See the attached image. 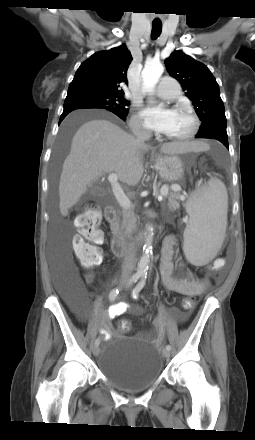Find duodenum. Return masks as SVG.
Returning <instances> with one entry per match:
<instances>
[{
    "label": "duodenum",
    "mask_w": 255,
    "mask_h": 440,
    "mask_svg": "<svg viewBox=\"0 0 255 440\" xmlns=\"http://www.w3.org/2000/svg\"><path fill=\"white\" fill-rule=\"evenodd\" d=\"M106 220L113 225L116 219L114 207L107 206L104 212ZM112 252L118 257L125 256L129 252V244L118 235H115L111 243Z\"/></svg>",
    "instance_id": "410a0bca"
}]
</instances>
